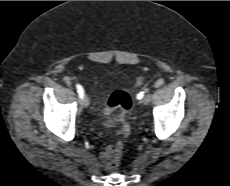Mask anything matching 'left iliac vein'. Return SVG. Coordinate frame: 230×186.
I'll return each instance as SVG.
<instances>
[{
  "label": "left iliac vein",
  "mask_w": 230,
  "mask_h": 186,
  "mask_svg": "<svg viewBox=\"0 0 230 186\" xmlns=\"http://www.w3.org/2000/svg\"><path fill=\"white\" fill-rule=\"evenodd\" d=\"M150 101H151L150 96H146V97L143 98L142 103L144 105H148L150 103Z\"/></svg>",
  "instance_id": "obj_1"
}]
</instances>
